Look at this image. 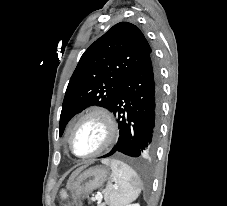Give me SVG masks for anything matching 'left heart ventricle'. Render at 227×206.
<instances>
[{
    "mask_svg": "<svg viewBox=\"0 0 227 206\" xmlns=\"http://www.w3.org/2000/svg\"><path fill=\"white\" fill-rule=\"evenodd\" d=\"M105 137V127L98 118L84 120L73 132L71 148L75 154L84 155L97 149Z\"/></svg>",
    "mask_w": 227,
    "mask_h": 206,
    "instance_id": "b2bd125f",
    "label": "left heart ventricle"
}]
</instances>
